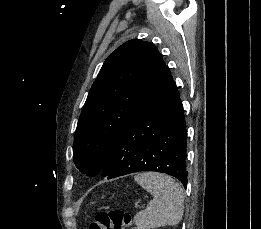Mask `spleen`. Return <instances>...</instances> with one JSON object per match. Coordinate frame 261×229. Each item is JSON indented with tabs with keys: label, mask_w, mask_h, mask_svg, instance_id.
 <instances>
[{
	"label": "spleen",
	"mask_w": 261,
	"mask_h": 229,
	"mask_svg": "<svg viewBox=\"0 0 261 229\" xmlns=\"http://www.w3.org/2000/svg\"><path fill=\"white\" fill-rule=\"evenodd\" d=\"M136 183L153 195L145 211L134 217L138 229H158L175 227L183 217V189L175 179L164 173H139L134 177Z\"/></svg>",
	"instance_id": "spleen-1"
}]
</instances>
